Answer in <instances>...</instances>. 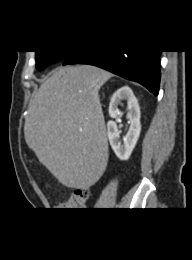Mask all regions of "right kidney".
Masks as SVG:
<instances>
[{
    "mask_svg": "<svg viewBox=\"0 0 192 260\" xmlns=\"http://www.w3.org/2000/svg\"><path fill=\"white\" fill-rule=\"evenodd\" d=\"M125 100L128 105L127 119L130 122V128L123 138V143L120 140V134L117 124L114 121L107 123V136L110 145L120 160H128L140 135V107L133 91L127 87H121L112 96L109 104V115L111 118H116L120 114L118 105Z\"/></svg>",
    "mask_w": 192,
    "mask_h": 260,
    "instance_id": "right-kidney-1",
    "label": "right kidney"
}]
</instances>
